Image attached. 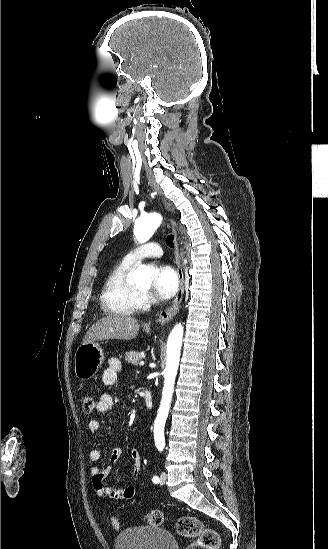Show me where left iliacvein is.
Returning a JSON list of instances; mask_svg holds the SVG:
<instances>
[{
	"label": "left iliac vein",
	"mask_w": 328,
	"mask_h": 549,
	"mask_svg": "<svg viewBox=\"0 0 328 549\" xmlns=\"http://www.w3.org/2000/svg\"><path fill=\"white\" fill-rule=\"evenodd\" d=\"M166 482V473L162 472L160 476V484H165Z\"/></svg>",
	"instance_id": "left-iliac-vein-1"
}]
</instances>
